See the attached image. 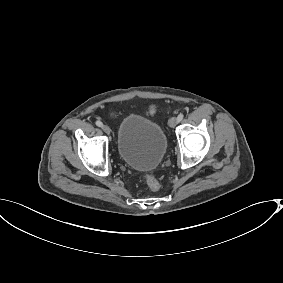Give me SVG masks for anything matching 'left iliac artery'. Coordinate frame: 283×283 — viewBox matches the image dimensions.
<instances>
[{"mask_svg": "<svg viewBox=\"0 0 283 283\" xmlns=\"http://www.w3.org/2000/svg\"><path fill=\"white\" fill-rule=\"evenodd\" d=\"M184 115L180 113L177 117L178 122H180L183 119Z\"/></svg>", "mask_w": 283, "mask_h": 283, "instance_id": "obj_1", "label": "left iliac artery"}]
</instances>
